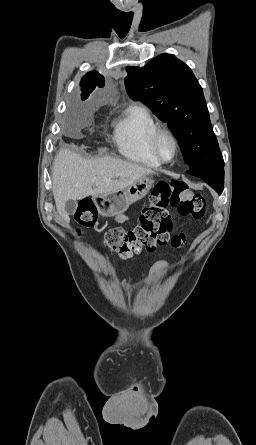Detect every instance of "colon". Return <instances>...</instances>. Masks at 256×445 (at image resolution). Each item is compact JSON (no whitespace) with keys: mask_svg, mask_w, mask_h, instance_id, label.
<instances>
[{"mask_svg":"<svg viewBox=\"0 0 256 445\" xmlns=\"http://www.w3.org/2000/svg\"><path fill=\"white\" fill-rule=\"evenodd\" d=\"M170 208L182 216L195 219L205 214V199L191 192L180 180L157 182L142 209L139 223L131 229L112 228L105 233L108 248L127 259L142 251L152 252L157 246L170 240L172 217ZM80 227L91 228L97 223L94 204L90 200L80 202L75 212Z\"/></svg>","mask_w":256,"mask_h":445,"instance_id":"obj_1","label":"colon"}]
</instances>
